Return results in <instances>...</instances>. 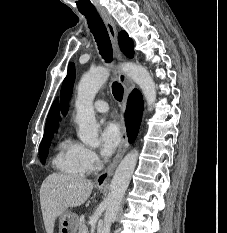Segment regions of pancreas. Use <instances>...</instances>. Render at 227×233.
<instances>
[{
  "mask_svg": "<svg viewBox=\"0 0 227 233\" xmlns=\"http://www.w3.org/2000/svg\"><path fill=\"white\" fill-rule=\"evenodd\" d=\"M85 230H86V225L84 224V222L82 220H79L77 233H84Z\"/></svg>",
  "mask_w": 227,
  "mask_h": 233,
  "instance_id": "pancreas-1",
  "label": "pancreas"
}]
</instances>
